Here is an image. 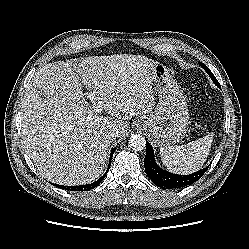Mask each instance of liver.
Returning <instances> with one entry per match:
<instances>
[{"label":"liver","instance_id":"1","mask_svg":"<svg viewBox=\"0 0 249 249\" xmlns=\"http://www.w3.org/2000/svg\"><path fill=\"white\" fill-rule=\"evenodd\" d=\"M157 64L142 55L119 54L58 61L37 70L21 103V131L39 173L62 185L97 179L114 140L108 133L116 129L117 137H124L129 119L153 109ZM80 79L109 116L89 105Z\"/></svg>","mask_w":249,"mask_h":249}]
</instances>
